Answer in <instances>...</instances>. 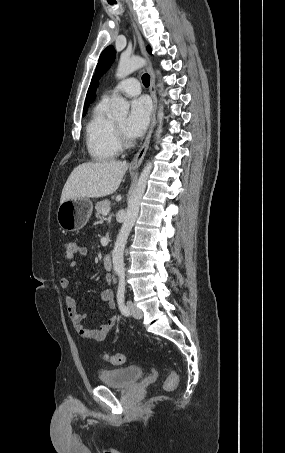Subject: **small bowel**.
I'll use <instances>...</instances> for the list:
<instances>
[{
	"label": "small bowel",
	"instance_id": "obj_1",
	"mask_svg": "<svg viewBox=\"0 0 285 453\" xmlns=\"http://www.w3.org/2000/svg\"><path fill=\"white\" fill-rule=\"evenodd\" d=\"M79 254L85 256L88 254V250L85 247H81L79 250ZM76 262L72 261L69 266L70 268L76 267ZM106 282L108 284L111 283V276L106 275ZM60 287L64 290H67L71 286V282L68 278H61L59 281ZM100 299L105 302L109 309L113 310L116 307L113 293L110 289H106L101 291ZM65 306L69 315L71 322L74 325L76 332L80 335V337L84 339H91L95 341H102L106 337V335L112 330V328L116 325L118 321L117 315H112L110 318L98 328H88L84 324V320L86 315L81 313L77 310L76 304L74 299L71 296H67L65 298Z\"/></svg>",
	"mask_w": 285,
	"mask_h": 453
}]
</instances>
